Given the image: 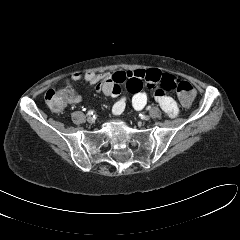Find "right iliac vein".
I'll list each match as a JSON object with an SVG mask.
<instances>
[{
  "instance_id": "obj_1",
  "label": "right iliac vein",
  "mask_w": 240,
  "mask_h": 240,
  "mask_svg": "<svg viewBox=\"0 0 240 240\" xmlns=\"http://www.w3.org/2000/svg\"><path fill=\"white\" fill-rule=\"evenodd\" d=\"M87 121H88L89 123H93V122H94V118H93L91 115H89V116L87 117Z\"/></svg>"
}]
</instances>
